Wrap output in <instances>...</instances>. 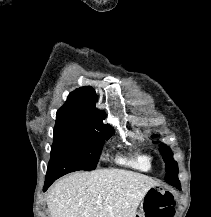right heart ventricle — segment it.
Masks as SVG:
<instances>
[{"label":"right heart ventricle","mask_w":211,"mask_h":217,"mask_svg":"<svg viewBox=\"0 0 211 217\" xmlns=\"http://www.w3.org/2000/svg\"><path fill=\"white\" fill-rule=\"evenodd\" d=\"M119 161L141 171H150L153 159L146 152H136L129 158H120Z\"/></svg>","instance_id":"obj_1"}]
</instances>
